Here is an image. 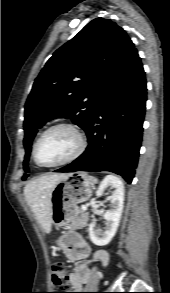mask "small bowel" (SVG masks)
I'll return each mask as SVG.
<instances>
[{
	"label": "small bowel",
	"mask_w": 170,
	"mask_h": 293,
	"mask_svg": "<svg viewBox=\"0 0 170 293\" xmlns=\"http://www.w3.org/2000/svg\"><path fill=\"white\" fill-rule=\"evenodd\" d=\"M63 250L67 259L82 262L76 266L74 271L70 274L68 284L71 290L79 291L87 284L91 270L84 260L90 255L89 248L83 236L77 232H67L63 236ZM93 262H100L107 264L108 255L105 251L99 250L92 255ZM78 293V292H73Z\"/></svg>",
	"instance_id": "small-bowel-1"
}]
</instances>
